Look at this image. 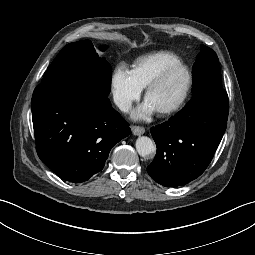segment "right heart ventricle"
<instances>
[{
  "instance_id": "right-heart-ventricle-1",
  "label": "right heart ventricle",
  "mask_w": 255,
  "mask_h": 255,
  "mask_svg": "<svg viewBox=\"0 0 255 255\" xmlns=\"http://www.w3.org/2000/svg\"><path fill=\"white\" fill-rule=\"evenodd\" d=\"M180 58L173 52L161 50L139 58L133 73L142 88L146 87L166 66L179 62Z\"/></svg>"
}]
</instances>
